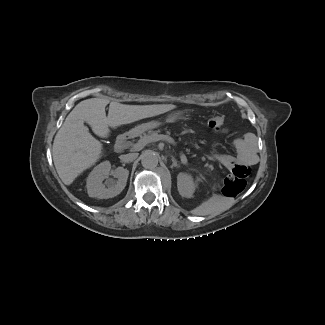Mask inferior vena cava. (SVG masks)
<instances>
[{"label":"inferior vena cava","mask_w":325,"mask_h":325,"mask_svg":"<svg viewBox=\"0 0 325 325\" xmlns=\"http://www.w3.org/2000/svg\"><path fill=\"white\" fill-rule=\"evenodd\" d=\"M137 157H138V154H137V153H129V154H126V155H121V156H120V159H121L123 162H132V161H134Z\"/></svg>","instance_id":"obj_1"}]
</instances>
